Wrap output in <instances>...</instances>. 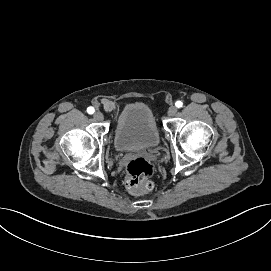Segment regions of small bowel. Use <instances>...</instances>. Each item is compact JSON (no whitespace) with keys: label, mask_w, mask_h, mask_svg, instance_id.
<instances>
[{"label":"small bowel","mask_w":271,"mask_h":271,"mask_svg":"<svg viewBox=\"0 0 271 271\" xmlns=\"http://www.w3.org/2000/svg\"><path fill=\"white\" fill-rule=\"evenodd\" d=\"M104 108L107 110V111H113L115 110L116 106L114 104V102L108 100V99H104L103 102H102Z\"/></svg>","instance_id":"c3829d8e"}]
</instances>
